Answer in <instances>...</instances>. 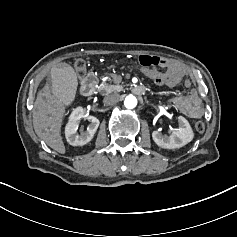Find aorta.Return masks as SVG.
Segmentation results:
<instances>
[{
  "instance_id": "obj_1",
  "label": "aorta",
  "mask_w": 237,
  "mask_h": 237,
  "mask_svg": "<svg viewBox=\"0 0 237 237\" xmlns=\"http://www.w3.org/2000/svg\"><path fill=\"white\" fill-rule=\"evenodd\" d=\"M137 105V99L134 96H127L124 100V106L127 109H134Z\"/></svg>"
}]
</instances>
